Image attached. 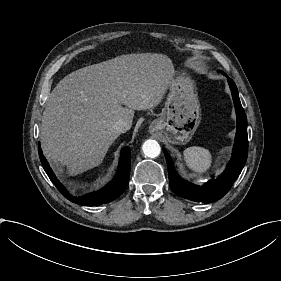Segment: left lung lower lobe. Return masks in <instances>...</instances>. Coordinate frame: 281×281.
<instances>
[{
    "label": "left lung lower lobe",
    "mask_w": 281,
    "mask_h": 281,
    "mask_svg": "<svg viewBox=\"0 0 281 281\" xmlns=\"http://www.w3.org/2000/svg\"><path fill=\"white\" fill-rule=\"evenodd\" d=\"M228 78L232 92L234 106L237 114V132L233 147L232 158L221 176L216 180L207 182L203 186L194 185L183 180L175 171L172 160L165 149H163L169 175V184L172 191L183 198L203 203H212L221 199L231 188L241 173L248 156L247 118L242 108L237 87L234 81Z\"/></svg>",
    "instance_id": "1"
}]
</instances>
